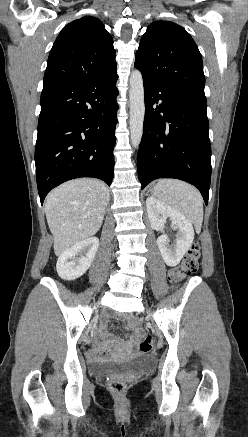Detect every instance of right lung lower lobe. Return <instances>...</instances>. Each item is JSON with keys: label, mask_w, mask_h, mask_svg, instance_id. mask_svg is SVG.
<instances>
[{"label": "right lung lower lobe", "mask_w": 248, "mask_h": 437, "mask_svg": "<svg viewBox=\"0 0 248 437\" xmlns=\"http://www.w3.org/2000/svg\"><path fill=\"white\" fill-rule=\"evenodd\" d=\"M117 79L115 69L87 81L43 84L35 148L41 204L51 189L70 179L112 183Z\"/></svg>", "instance_id": "1"}]
</instances>
